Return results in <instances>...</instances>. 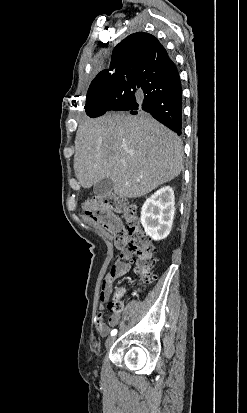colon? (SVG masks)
Masks as SVG:
<instances>
[{
  "mask_svg": "<svg viewBox=\"0 0 247 413\" xmlns=\"http://www.w3.org/2000/svg\"><path fill=\"white\" fill-rule=\"evenodd\" d=\"M86 214L114 235L115 244L121 247L126 240L133 255L135 269L140 284H151L155 274L151 268L157 263L156 251L149 237L143 232L139 223L137 205L130 204L113 195L94 196L84 203ZM123 220L129 223L125 228ZM112 307H123V304H109Z\"/></svg>",
  "mask_w": 247,
  "mask_h": 413,
  "instance_id": "5ec220e1",
  "label": "colon"
}]
</instances>
